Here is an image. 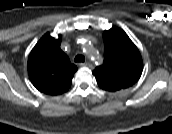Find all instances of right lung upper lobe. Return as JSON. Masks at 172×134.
<instances>
[{"label":"right lung upper lobe","mask_w":172,"mask_h":134,"mask_svg":"<svg viewBox=\"0 0 172 134\" xmlns=\"http://www.w3.org/2000/svg\"><path fill=\"white\" fill-rule=\"evenodd\" d=\"M61 39V35L54 38L46 33L28 58L29 78L35 88L45 94L59 95L66 92L78 69L60 49Z\"/></svg>","instance_id":"right-lung-upper-lobe-1"}]
</instances>
